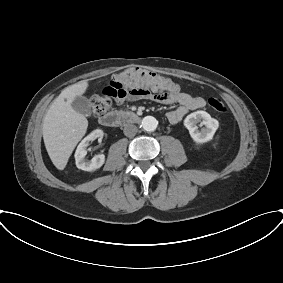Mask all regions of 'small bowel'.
I'll list each match as a JSON object with an SVG mask.
<instances>
[{
  "label": "small bowel",
  "instance_id": "c3829d8e",
  "mask_svg": "<svg viewBox=\"0 0 283 283\" xmlns=\"http://www.w3.org/2000/svg\"><path fill=\"white\" fill-rule=\"evenodd\" d=\"M172 87L167 91L165 97L159 95H153L148 99L155 100L160 103L166 104H178V107L167 113V119L170 123L176 124L180 122L184 116L190 111L202 108L205 105V100L201 97L192 96L186 92H183L180 86L171 81ZM140 99L133 95H127L124 98L117 99L118 103H123L125 101H135Z\"/></svg>",
  "mask_w": 283,
  "mask_h": 283
}]
</instances>
